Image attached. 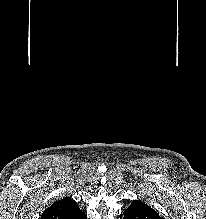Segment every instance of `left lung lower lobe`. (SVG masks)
<instances>
[{
  "label": "left lung lower lobe",
  "mask_w": 206,
  "mask_h": 219,
  "mask_svg": "<svg viewBox=\"0 0 206 219\" xmlns=\"http://www.w3.org/2000/svg\"><path fill=\"white\" fill-rule=\"evenodd\" d=\"M124 219H161V217L144 202L135 200L124 211Z\"/></svg>",
  "instance_id": "1"
}]
</instances>
